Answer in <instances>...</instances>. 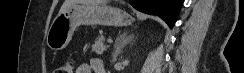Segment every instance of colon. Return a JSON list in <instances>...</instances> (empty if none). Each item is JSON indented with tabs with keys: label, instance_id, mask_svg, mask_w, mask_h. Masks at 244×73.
Returning <instances> with one entry per match:
<instances>
[{
	"label": "colon",
	"instance_id": "5ec220e1",
	"mask_svg": "<svg viewBox=\"0 0 244 73\" xmlns=\"http://www.w3.org/2000/svg\"><path fill=\"white\" fill-rule=\"evenodd\" d=\"M74 63L70 60L63 62L56 70V73H73Z\"/></svg>",
	"mask_w": 244,
	"mask_h": 73
}]
</instances>
